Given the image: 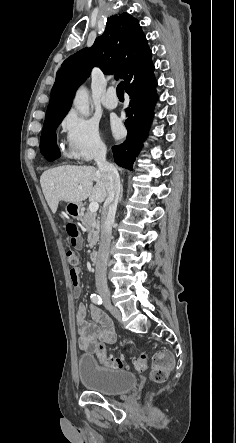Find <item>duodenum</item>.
Instances as JSON below:
<instances>
[{
  "label": "duodenum",
  "instance_id": "obj_1",
  "mask_svg": "<svg viewBox=\"0 0 236 443\" xmlns=\"http://www.w3.org/2000/svg\"><path fill=\"white\" fill-rule=\"evenodd\" d=\"M79 208H80V206L77 205V206H76V209L79 210ZM75 215H79V213L76 212ZM89 258H90V261H91L93 264H95V265L98 264V262H99V258H98L97 253L92 252V253L90 254Z\"/></svg>",
  "mask_w": 236,
  "mask_h": 443
}]
</instances>
